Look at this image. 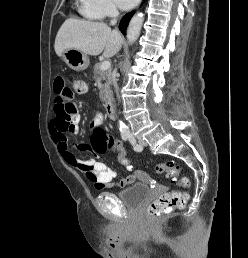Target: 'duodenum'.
Returning <instances> with one entry per match:
<instances>
[{
    "label": "duodenum",
    "instance_id": "duodenum-1",
    "mask_svg": "<svg viewBox=\"0 0 248 258\" xmlns=\"http://www.w3.org/2000/svg\"><path fill=\"white\" fill-rule=\"evenodd\" d=\"M105 109L110 118L114 117V106L112 100H107L105 102Z\"/></svg>",
    "mask_w": 248,
    "mask_h": 258
}]
</instances>
